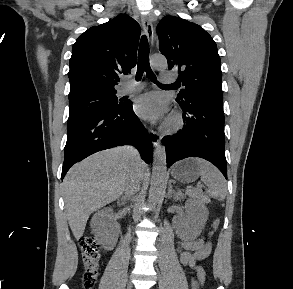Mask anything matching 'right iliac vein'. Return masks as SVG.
<instances>
[{
	"mask_svg": "<svg viewBox=\"0 0 293 289\" xmlns=\"http://www.w3.org/2000/svg\"><path fill=\"white\" fill-rule=\"evenodd\" d=\"M126 289H132V284H131V282H129V283L127 284Z\"/></svg>",
	"mask_w": 293,
	"mask_h": 289,
	"instance_id": "right-iliac-vein-1",
	"label": "right iliac vein"
}]
</instances>
